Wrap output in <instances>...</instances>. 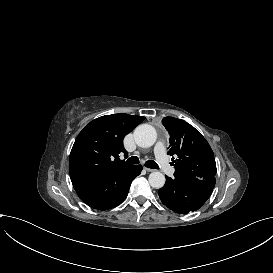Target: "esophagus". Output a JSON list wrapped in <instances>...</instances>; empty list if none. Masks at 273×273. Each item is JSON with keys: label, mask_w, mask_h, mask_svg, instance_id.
Returning <instances> with one entry per match:
<instances>
[{"label": "esophagus", "mask_w": 273, "mask_h": 273, "mask_svg": "<svg viewBox=\"0 0 273 273\" xmlns=\"http://www.w3.org/2000/svg\"><path fill=\"white\" fill-rule=\"evenodd\" d=\"M144 169H145L147 172H153V171H156L155 169H150V168H147V167H144Z\"/></svg>", "instance_id": "1"}]
</instances>
